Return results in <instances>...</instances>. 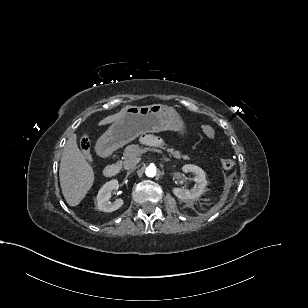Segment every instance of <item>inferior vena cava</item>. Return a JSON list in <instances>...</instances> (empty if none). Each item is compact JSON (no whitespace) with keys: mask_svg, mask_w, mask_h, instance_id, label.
I'll list each match as a JSON object with an SVG mask.
<instances>
[{"mask_svg":"<svg viewBox=\"0 0 308 308\" xmlns=\"http://www.w3.org/2000/svg\"><path fill=\"white\" fill-rule=\"evenodd\" d=\"M133 173H134L133 168H128V174H133Z\"/></svg>","mask_w":308,"mask_h":308,"instance_id":"1","label":"inferior vena cava"}]
</instances>
